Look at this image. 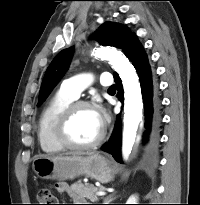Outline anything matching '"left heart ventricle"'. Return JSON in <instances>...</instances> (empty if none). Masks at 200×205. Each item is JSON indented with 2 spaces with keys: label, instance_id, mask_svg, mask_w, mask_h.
<instances>
[{
  "label": "left heart ventricle",
  "instance_id": "obj_1",
  "mask_svg": "<svg viewBox=\"0 0 200 205\" xmlns=\"http://www.w3.org/2000/svg\"><path fill=\"white\" fill-rule=\"evenodd\" d=\"M102 123L98 119L94 109L81 108L72 117L68 134L76 143H89L99 135Z\"/></svg>",
  "mask_w": 200,
  "mask_h": 205
}]
</instances>
